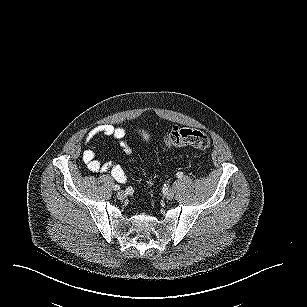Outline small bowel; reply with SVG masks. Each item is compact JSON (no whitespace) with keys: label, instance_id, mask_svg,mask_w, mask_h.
Listing matches in <instances>:
<instances>
[{"label":"small bowel","instance_id":"small-bowel-1","mask_svg":"<svg viewBox=\"0 0 307 307\" xmlns=\"http://www.w3.org/2000/svg\"><path fill=\"white\" fill-rule=\"evenodd\" d=\"M137 132L145 142H149L148 133L140 129H138ZM98 136L111 138L118 142L124 148V151L127 154L132 153L131 148L124 140L125 130L123 128L115 127L111 124L97 125L87 133L85 141L90 143ZM82 161L86 165L87 169L93 173L110 172L116 181L120 183L127 181V175L121 166L110 162L103 163L96 158L94 145L89 146L82 152Z\"/></svg>","mask_w":307,"mask_h":307}]
</instances>
